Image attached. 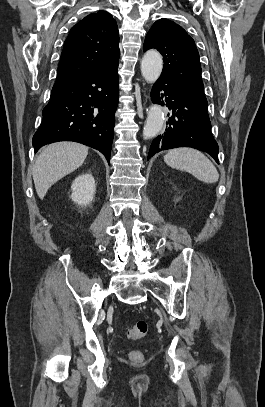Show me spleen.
<instances>
[{
  "label": "spleen",
  "instance_id": "spleen-1",
  "mask_svg": "<svg viewBox=\"0 0 265 407\" xmlns=\"http://www.w3.org/2000/svg\"><path fill=\"white\" fill-rule=\"evenodd\" d=\"M164 162L172 168L191 173L205 183H216L219 179V173L213 163L196 149H172L164 156Z\"/></svg>",
  "mask_w": 265,
  "mask_h": 407
}]
</instances>
